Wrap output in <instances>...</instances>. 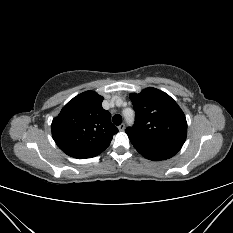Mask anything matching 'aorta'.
Segmentation results:
<instances>
[{"label": "aorta", "instance_id": "762f6f07", "mask_svg": "<svg viewBox=\"0 0 233 233\" xmlns=\"http://www.w3.org/2000/svg\"><path fill=\"white\" fill-rule=\"evenodd\" d=\"M124 116L126 117L128 122H132L134 112L131 109H127V110L124 111Z\"/></svg>", "mask_w": 233, "mask_h": 233}]
</instances>
